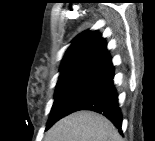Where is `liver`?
I'll return each mask as SVG.
<instances>
[{
  "instance_id": "6515ba94",
  "label": "liver",
  "mask_w": 155,
  "mask_h": 141,
  "mask_svg": "<svg viewBox=\"0 0 155 141\" xmlns=\"http://www.w3.org/2000/svg\"><path fill=\"white\" fill-rule=\"evenodd\" d=\"M46 141H122L114 125L104 116L79 111L58 121L46 134Z\"/></svg>"
}]
</instances>
